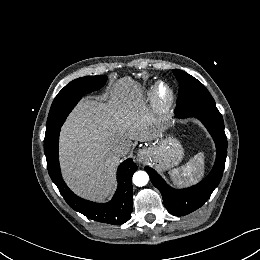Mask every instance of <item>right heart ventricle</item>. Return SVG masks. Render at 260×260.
I'll list each match as a JSON object with an SVG mask.
<instances>
[{
	"label": "right heart ventricle",
	"instance_id": "right-heart-ventricle-1",
	"mask_svg": "<svg viewBox=\"0 0 260 260\" xmlns=\"http://www.w3.org/2000/svg\"><path fill=\"white\" fill-rule=\"evenodd\" d=\"M144 92L145 93L149 92V88H144Z\"/></svg>",
	"mask_w": 260,
	"mask_h": 260
}]
</instances>
